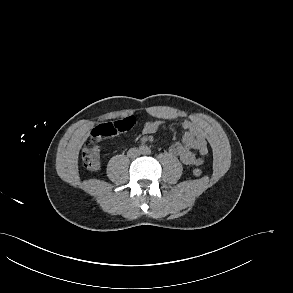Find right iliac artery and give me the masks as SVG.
<instances>
[{
	"mask_svg": "<svg viewBox=\"0 0 293 293\" xmlns=\"http://www.w3.org/2000/svg\"><path fill=\"white\" fill-rule=\"evenodd\" d=\"M144 149H145V147H144L143 145L139 147V150H140L141 152L144 151Z\"/></svg>",
	"mask_w": 293,
	"mask_h": 293,
	"instance_id": "82829eb1",
	"label": "right iliac artery"
}]
</instances>
